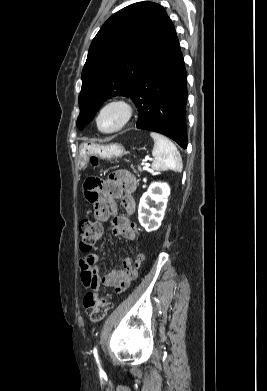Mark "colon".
Instances as JSON below:
<instances>
[{"mask_svg": "<svg viewBox=\"0 0 267 391\" xmlns=\"http://www.w3.org/2000/svg\"><path fill=\"white\" fill-rule=\"evenodd\" d=\"M90 161L93 166L98 164L96 157H91ZM78 231L80 236V249L82 252L88 253L92 251L102 236L103 226L99 221L84 218L80 221ZM83 303L85 312L92 322H98L105 318L108 311L112 308L111 301L103 294L96 292L87 293Z\"/></svg>", "mask_w": 267, "mask_h": 391, "instance_id": "obj_1", "label": "colon"}]
</instances>
